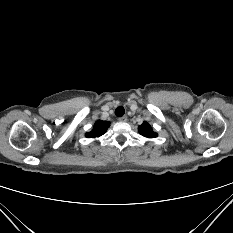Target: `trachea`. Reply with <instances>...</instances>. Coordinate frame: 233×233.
<instances>
[{"instance_id": "3493384b", "label": "trachea", "mask_w": 233, "mask_h": 233, "mask_svg": "<svg viewBox=\"0 0 233 233\" xmlns=\"http://www.w3.org/2000/svg\"><path fill=\"white\" fill-rule=\"evenodd\" d=\"M124 113H125V109H124V107H122V106L117 107L116 110H115V115H116L117 117L123 116Z\"/></svg>"}]
</instances>
